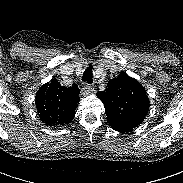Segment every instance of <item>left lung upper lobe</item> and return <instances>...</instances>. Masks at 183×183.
I'll list each match as a JSON object with an SVG mask.
<instances>
[{
  "label": "left lung upper lobe",
  "instance_id": "left-lung-upper-lobe-1",
  "mask_svg": "<svg viewBox=\"0 0 183 183\" xmlns=\"http://www.w3.org/2000/svg\"><path fill=\"white\" fill-rule=\"evenodd\" d=\"M97 96L113 129L132 130L142 123L149 110L144 87L126 73L111 79L106 90L97 92Z\"/></svg>",
  "mask_w": 183,
  "mask_h": 183
}]
</instances>
